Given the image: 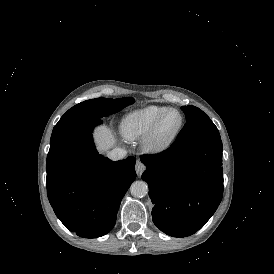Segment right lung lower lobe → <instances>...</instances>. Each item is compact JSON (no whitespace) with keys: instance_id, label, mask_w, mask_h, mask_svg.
<instances>
[{"instance_id":"right-lung-lower-lobe-1","label":"right lung lower lobe","mask_w":274,"mask_h":274,"mask_svg":"<svg viewBox=\"0 0 274 274\" xmlns=\"http://www.w3.org/2000/svg\"><path fill=\"white\" fill-rule=\"evenodd\" d=\"M101 122L94 119L50 145L46 162L50 204L60 221L84 238L111 231L136 178L133 156L112 162L96 151L92 130Z\"/></svg>"}]
</instances>
